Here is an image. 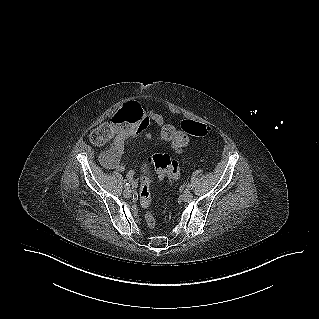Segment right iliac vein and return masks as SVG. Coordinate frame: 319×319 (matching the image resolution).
Returning a JSON list of instances; mask_svg holds the SVG:
<instances>
[{
    "label": "right iliac vein",
    "instance_id": "right-iliac-vein-1",
    "mask_svg": "<svg viewBox=\"0 0 319 319\" xmlns=\"http://www.w3.org/2000/svg\"><path fill=\"white\" fill-rule=\"evenodd\" d=\"M123 195L125 198H130L132 196V191L130 189H125Z\"/></svg>",
    "mask_w": 319,
    "mask_h": 319
}]
</instances>
